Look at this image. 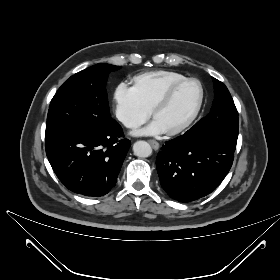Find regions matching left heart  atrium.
I'll return each instance as SVG.
<instances>
[{
    "label": "left heart atrium",
    "instance_id": "left-heart-atrium-1",
    "mask_svg": "<svg viewBox=\"0 0 280 280\" xmlns=\"http://www.w3.org/2000/svg\"><path fill=\"white\" fill-rule=\"evenodd\" d=\"M164 130L159 125V123L154 120L147 127L138 129L132 132L133 135L136 136H145V135H158L162 134Z\"/></svg>",
    "mask_w": 280,
    "mask_h": 280
}]
</instances>
